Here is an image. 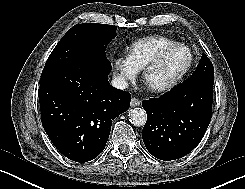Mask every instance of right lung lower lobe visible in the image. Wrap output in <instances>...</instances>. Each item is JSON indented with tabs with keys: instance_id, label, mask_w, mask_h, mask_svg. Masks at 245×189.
Returning a JSON list of instances; mask_svg holds the SVG:
<instances>
[{
	"instance_id": "obj_1",
	"label": "right lung lower lobe",
	"mask_w": 245,
	"mask_h": 189,
	"mask_svg": "<svg viewBox=\"0 0 245 189\" xmlns=\"http://www.w3.org/2000/svg\"><path fill=\"white\" fill-rule=\"evenodd\" d=\"M111 68L106 56H88L40 84L42 126L72 161L96 158L105 148L112 120L129 108L131 95L108 82Z\"/></svg>"
}]
</instances>
